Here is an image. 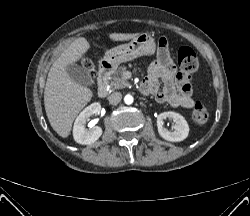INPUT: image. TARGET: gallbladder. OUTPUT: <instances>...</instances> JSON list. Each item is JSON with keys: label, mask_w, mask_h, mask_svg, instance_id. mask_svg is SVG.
<instances>
[{"label": "gallbladder", "mask_w": 250, "mask_h": 216, "mask_svg": "<svg viewBox=\"0 0 250 216\" xmlns=\"http://www.w3.org/2000/svg\"><path fill=\"white\" fill-rule=\"evenodd\" d=\"M67 72L69 76L78 84L83 86H88L93 83V80L89 73L82 68L81 66H78L76 64L69 65L67 67Z\"/></svg>", "instance_id": "1"}]
</instances>
